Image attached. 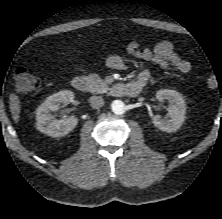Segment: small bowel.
I'll use <instances>...</instances> for the list:
<instances>
[{"label":"small bowel","mask_w":222,"mask_h":219,"mask_svg":"<svg viewBox=\"0 0 222 219\" xmlns=\"http://www.w3.org/2000/svg\"><path fill=\"white\" fill-rule=\"evenodd\" d=\"M128 51L133 56L148 62L155 63L164 69L173 68L179 73L186 74L191 71V63L179 56L169 41H161L152 48H142L137 41H132L128 45ZM108 67L115 70H124L125 61L117 55H109L106 58ZM148 80V73L142 72L135 82L144 85Z\"/></svg>","instance_id":"small-bowel-1"}]
</instances>
